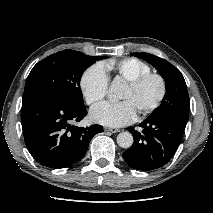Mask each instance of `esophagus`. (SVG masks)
I'll list each match as a JSON object with an SVG mask.
<instances>
[{
    "instance_id": "esophagus-1",
    "label": "esophagus",
    "mask_w": 213,
    "mask_h": 213,
    "mask_svg": "<svg viewBox=\"0 0 213 213\" xmlns=\"http://www.w3.org/2000/svg\"><path fill=\"white\" fill-rule=\"evenodd\" d=\"M104 130L112 132V133H118V132H120V129L114 128V127H106V128H104Z\"/></svg>"
}]
</instances>
